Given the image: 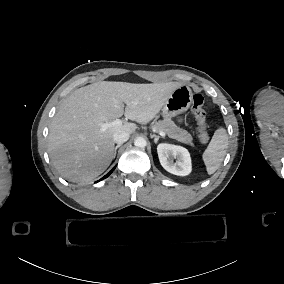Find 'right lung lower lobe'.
I'll return each mask as SVG.
<instances>
[{
  "mask_svg": "<svg viewBox=\"0 0 284 284\" xmlns=\"http://www.w3.org/2000/svg\"><path fill=\"white\" fill-rule=\"evenodd\" d=\"M115 167H116V166H115ZM115 167H114L108 174H106L102 179L108 177V176L113 172V170L115 169ZM102 179H101V180H102Z\"/></svg>",
  "mask_w": 284,
  "mask_h": 284,
  "instance_id": "98d812e1",
  "label": "right lung lower lobe"
}]
</instances>
